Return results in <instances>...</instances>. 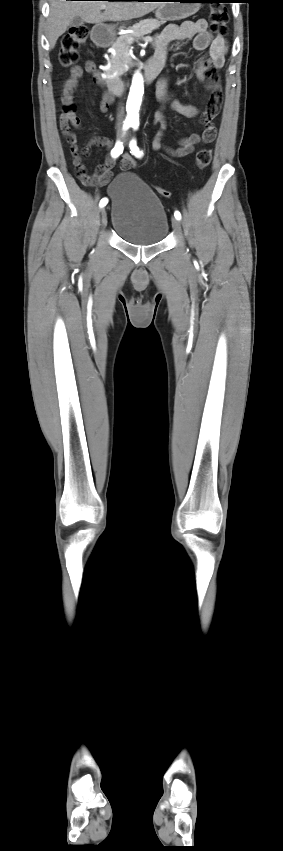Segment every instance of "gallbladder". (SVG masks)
Returning a JSON list of instances; mask_svg holds the SVG:
<instances>
[{
  "label": "gallbladder",
  "mask_w": 283,
  "mask_h": 851,
  "mask_svg": "<svg viewBox=\"0 0 283 851\" xmlns=\"http://www.w3.org/2000/svg\"><path fill=\"white\" fill-rule=\"evenodd\" d=\"M83 23H84V20H83L81 17H79V16H75V17L73 18V20L71 21V26H72V27H77V26L82 25Z\"/></svg>",
  "instance_id": "bac80fb5"
}]
</instances>
